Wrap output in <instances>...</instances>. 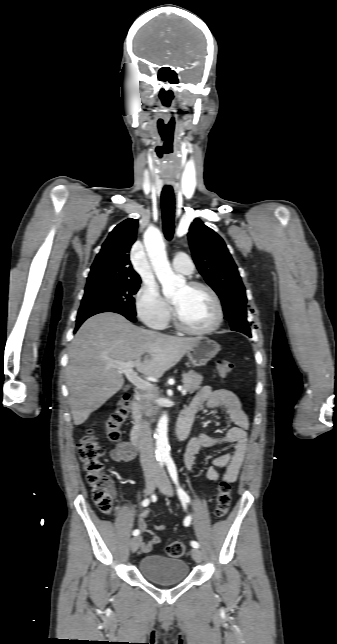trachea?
<instances>
[{
  "instance_id": "1",
  "label": "trachea",
  "mask_w": 337,
  "mask_h": 644,
  "mask_svg": "<svg viewBox=\"0 0 337 644\" xmlns=\"http://www.w3.org/2000/svg\"><path fill=\"white\" fill-rule=\"evenodd\" d=\"M163 231L170 241L174 234V192L170 185H165L161 193Z\"/></svg>"
}]
</instances>
